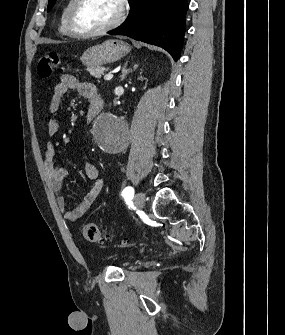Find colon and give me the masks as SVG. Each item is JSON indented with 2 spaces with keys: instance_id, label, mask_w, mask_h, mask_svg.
<instances>
[{
  "instance_id": "5ec220e1",
  "label": "colon",
  "mask_w": 285,
  "mask_h": 335,
  "mask_svg": "<svg viewBox=\"0 0 285 335\" xmlns=\"http://www.w3.org/2000/svg\"><path fill=\"white\" fill-rule=\"evenodd\" d=\"M60 64V56L57 52H48L44 54L38 63V75L42 79L51 77L54 70ZM83 235L90 242H103L108 239L102 229L95 223H86L83 226Z\"/></svg>"
}]
</instances>
